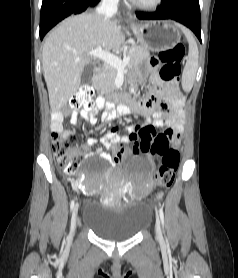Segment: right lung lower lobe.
<instances>
[{
  "label": "right lung lower lobe",
  "mask_w": 238,
  "mask_h": 278,
  "mask_svg": "<svg viewBox=\"0 0 238 278\" xmlns=\"http://www.w3.org/2000/svg\"><path fill=\"white\" fill-rule=\"evenodd\" d=\"M100 0H43L40 15V38L71 14H79Z\"/></svg>",
  "instance_id": "1"
}]
</instances>
